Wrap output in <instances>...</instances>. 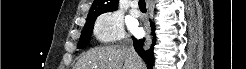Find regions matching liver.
Masks as SVG:
<instances>
[{
  "label": "liver",
  "mask_w": 246,
  "mask_h": 69,
  "mask_svg": "<svg viewBox=\"0 0 246 69\" xmlns=\"http://www.w3.org/2000/svg\"><path fill=\"white\" fill-rule=\"evenodd\" d=\"M75 69H133L130 51L119 45L96 47L87 51L77 62ZM139 69H145L141 58H138Z\"/></svg>",
  "instance_id": "1"
}]
</instances>
